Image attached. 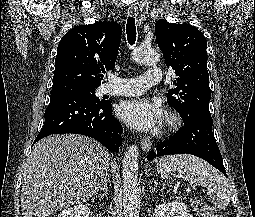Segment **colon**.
I'll return each instance as SVG.
<instances>
[{
	"instance_id": "obj_1",
	"label": "colon",
	"mask_w": 255,
	"mask_h": 217,
	"mask_svg": "<svg viewBox=\"0 0 255 217\" xmlns=\"http://www.w3.org/2000/svg\"><path fill=\"white\" fill-rule=\"evenodd\" d=\"M193 208L200 217H221L215 214L214 211L201 199H197L193 203Z\"/></svg>"
}]
</instances>
